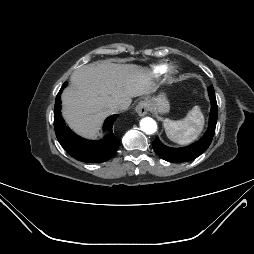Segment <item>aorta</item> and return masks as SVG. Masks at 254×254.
I'll use <instances>...</instances> for the list:
<instances>
[{
  "label": "aorta",
  "mask_w": 254,
  "mask_h": 254,
  "mask_svg": "<svg viewBox=\"0 0 254 254\" xmlns=\"http://www.w3.org/2000/svg\"><path fill=\"white\" fill-rule=\"evenodd\" d=\"M141 130L146 134H153L157 130V124L154 119L145 117L140 122Z\"/></svg>",
  "instance_id": "1"
}]
</instances>
